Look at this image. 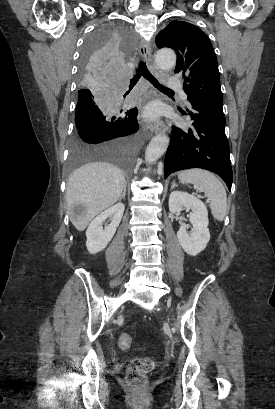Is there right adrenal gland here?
Returning a JSON list of instances; mask_svg holds the SVG:
<instances>
[{
	"label": "right adrenal gland",
	"instance_id": "right-adrenal-gland-1",
	"mask_svg": "<svg viewBox=\"0 0 275 409\" xmlns=\"http://www.w3.org/2000/svg\"><path fill=\"white\" fill-rule=\"evenodd\" d=\"M125 194H126V184H125L124 190H123V192H122L120 198H118V200H121V198H125Z\"/></svg>",
	"mask_w": 275,
	"mask_h": 409
}]
</instances>
